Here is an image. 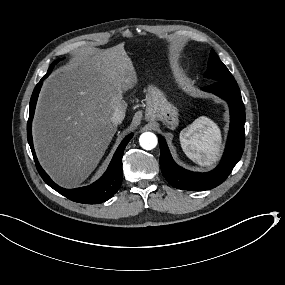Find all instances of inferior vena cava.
Wrapping results in <instances>:
<instances>
[{
	"label": "inferior vena cava",
	"mask_w": 285,
	"mask_h": 285,
	"mask_svg": "<svg viewBox=\"0 0 285 285\" xmlns=\"http://www.w3.org/2000/svg\"><path fill=\"white\" fill-rule=\"evenodd\" d=\"M123 118H124V112L121 109H118L114 112L112 116V122L117 125L121 123Z\"/></svg>",
	"instance_id": "1"
}]
</instances>
